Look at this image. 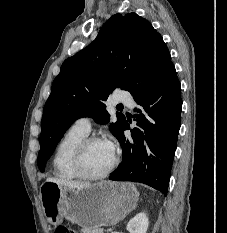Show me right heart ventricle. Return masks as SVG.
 <instances>
[{"mask_svg":"<svg viewBox=\"0 0 227 233\" xmlns=\"http://www.w3.org/2000/svg\"><path fill=\"white\" fill-rule=\"evenodd\" d=\"M86 137L87 134L71 127L58 143L52 164L59 178L68 181L79 178L73 169L72 158L76 147Z\"/></svg>","mask_w":227,"mask_h":233,"instance_id":"1","label":"right heart ventricle"}]
</instances>
